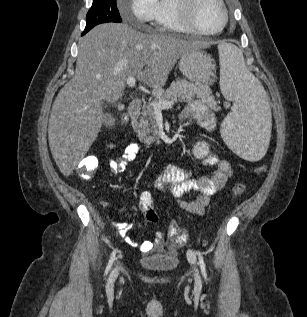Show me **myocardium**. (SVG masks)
Returning a JSON list of instances; mask_svg holds the SVG:
<instances>
[{
  "instance_id": "myocardium-1",
  "label": "myocardium",
  "mask_w": 307,
  "mask_h": 317,
  "mask_svg": "<svg viewBox=\"0 0 307 317\" xmlns=\"http://www.w3.org/2000/svg\"><path fill=\"white\" fill-rule=\"evenodd\" d=\"M175 1H176V9H177L181 22L192 33H195L198 35H204V36L216 35L222 32L228 23L229 12L227 10L224 0H216L217 3L221 7L223 19H222L221 26L218 29L213 31H205L200 29L194 20V9L199 0H175Z\"/></svg>"
}]
</instances>
